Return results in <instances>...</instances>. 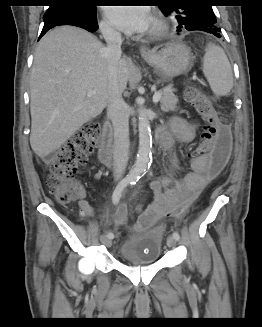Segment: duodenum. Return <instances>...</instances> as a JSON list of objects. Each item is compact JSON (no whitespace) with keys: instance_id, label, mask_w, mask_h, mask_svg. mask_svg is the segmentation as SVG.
Here are the masks:
<instances>
[{"instance_id":"410a0bca","label":"duodenum","mask_w":262,"mask_h":327,"mask_svg":"<svg viewBox=\"0 0 262 327\" xmlns=\"http://www.w3.org/2000/svg\"><path fill=\"white\" fill-rule=\"evenodd\" d=\"M99 158L105 163L109 164L113 160V135H112V127L107 118H105L102 128V135L100 139L99 146Z\"/></svg>"}]
</instances>
